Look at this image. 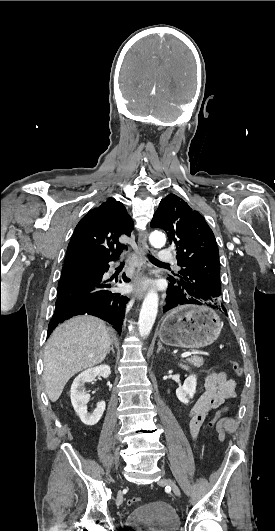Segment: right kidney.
Wrapping results in <instances>:
<instances>
[{
    "mask_svg": "<svg viewBox=\"0 0 275 531\" xmlns=\"http://www.w3.org/2000/svg\"><path fill=\"white\" fill-rule=\"evenodd\" d=\"M109 375H111L109 365H99V367H92V369H86V371L80 373L71 385L70 397L74 411H76L82 423L88 425V427H92V425H96L100 421L106 405L105 401H100V403H97V407L93 413H88L87 403L90 395L84 393V383H91V381H95L96 377H104V379H107Z\"/></svg>",
    "mask_w": 275,
    "mask_h": 531,
    "instance_id": "1",
    "label": "right kidney"
}]
</instances>
